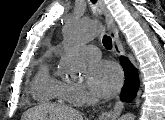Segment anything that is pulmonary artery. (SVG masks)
Returning <instances> with one entry per match:
<instances>
[{"label": "pulmonary artery", "mask_w": 165, "mask_h": 120, "mask_svg": "<svg viewBox=\"0 0 165 120\" xmlns=\"http://www.w3.org/2000/svg\"><path fill=\"white\" fill-rule=\"evenodd\" d=\"M82 51L89 59H97L101 55L99 48L94 45H87L83 47Z\"/></svg>", "instance_id": "obj_1"}]
</instances>
